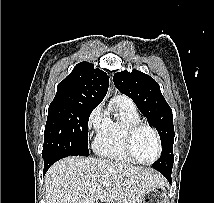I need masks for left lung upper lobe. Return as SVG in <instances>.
Here are the masks:
<instances>
[{
    "label": "left lung upper lobe",
    "mask_w": 214,
    "mask_h": 203,
    "mask_svg": "<svg viewBox=\"0 0 214 203\" xmlns=\"http://www.w3.org/2000/svg\"><path fill=\"white\" fill-rule=\"evenodd\" d=\"M113 81L121 93L134 101L148 123L153 125L160 135L162 153L160 159L153 164V168L159 172L172 169L175 135L173 115L159 84L151 76L137 70L116 73Z\"/></svg>",
    "instance_id": "1"
}]
</instances>
